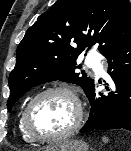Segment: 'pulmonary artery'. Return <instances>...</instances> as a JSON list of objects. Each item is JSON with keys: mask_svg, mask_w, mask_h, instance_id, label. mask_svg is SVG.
Masks as SVG:
<instances>
[{"mask_svg": "<svg viewBox=\"0 0 131 151\" xmlns=\"http://www.w3.org/2000/svg\"><path fill=\"white\" fill-rule=\"evenodd\" d=\"M86 65L91 68L96 75H103L104 69L100 64L99 57L95 53H90L86 57Z\"/></svg>", "mask_w": 131, "mask_h": 151, "instance_id": "1", "label": "pulmonary artery"}]
</instances>
